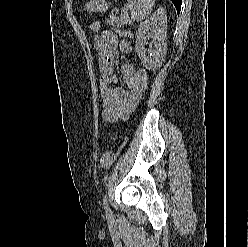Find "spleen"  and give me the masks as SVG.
I'll return each instance as SVG.
<instances>
[{"mask_svg":"<svg viewBox=\"0 0 248 247\" xmlns=\"http://www.w3.org/2000/svg\"><path fill=\"white\" fill-rule=\"evenodd\" d=\"M132 5L131 18L134 21H142L152 11L155 0H127Z\"/></svg>","mask_w":248,"mask_h":247,"instance_id":"3e777b00","label":"spleen"}]
</instances>
